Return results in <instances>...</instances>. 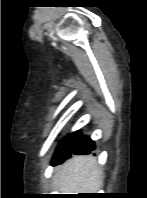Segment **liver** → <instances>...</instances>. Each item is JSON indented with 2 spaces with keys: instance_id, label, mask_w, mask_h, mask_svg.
<instances>
[{
  "instance_id": "liver-1",
  "label": "liver",
  "mask_w": 147,
  "mask_h": 198,
  "mask_svg": "<svg viewBox=\"0 0 147 198\" xmlns=\"http://www.w3.org/2000/svg\"><path fill=\"white\" fill-rule=\"evenodd\" d=\"M103 173L91 156H74L55 168L54 184L60 194L97 193Z\"/></svg>"
}]
</instances>
